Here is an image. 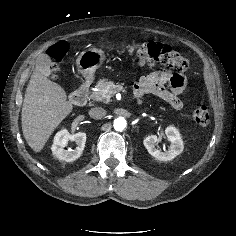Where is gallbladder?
<instances>
[{"mask_svg":"<svg viewBox=\"0 0 236 236\" xmlns=\"http://www.w3.org/2000/svg\"><path fill=\"white\" fill-rule=\"evenodd\" d=\"M37 63L42 66L44 69L45 73L49 74L51 72V66L52 62L50 60V57L46 54H42L38 57Z\"/></svg>","mask_w":236,"mask_h":236,"instance_id":"obj_1","label":"gallbladder"}]
</instances>
